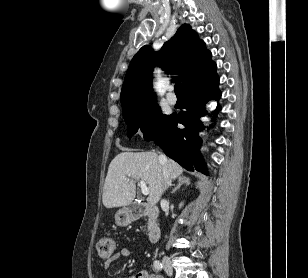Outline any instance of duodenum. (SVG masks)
<instances>
[{"label":"duodenum","mask_w":308,"mask_h":278,"mask_svg":"<svg viewBox=\"0 0 308 278\" xmlns=\"http://www.w3.org/2000/svg\"><path fill=\"white\" fill-rule=\"evenodd\" d=\"M149 217L148 238L151 242H156L161 235L159 225V210L153 205L130 204L126 207L125 218L127 221H134L141 216Z\"/></svg>","instance_id":"duodenum-1"}]
</instances>
